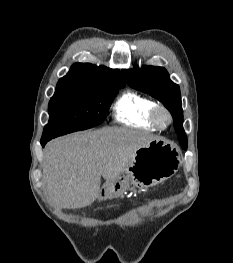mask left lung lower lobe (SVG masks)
Returning a JSON list of instances; mask_svg holds the SVG:
<instances>
[{"instance_id": "obj_1", "label": "left lung lower lobe", "mask_w": 233, "mask_h": 263, "mask_svg": "<svg viewBox=\"0 0 233 263\" xmlns=\"http://www.w3.org/2000/svg\"><path fill=\"white\" fill-rule=\"evenodd\" d=\"M181 147L185 150L187 148V139L181 138L179 139Z\"/></svg>"}]
</instances>
